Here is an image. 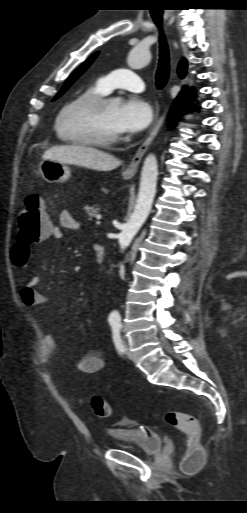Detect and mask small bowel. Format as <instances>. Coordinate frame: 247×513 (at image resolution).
Wrapping results in <instances>:
<instances>
[{"label":"small bowel","mask_w":247,"mask_h":513,"mask_svg":"<svg viewBox=\"0 0 247 513\" xmlns=\"http://www.w3.org/2000/svg\"><path fill=\"white\" fill-rule=\"evenodd\" d=\"M79 230L81 224L71 215L68 210H63L59 215V225H52L49 234L45 239L62 240L63 230ZM41 279L39 276L30 277L26 284L20 290L21 302L27 307L44 306L48 303L46 296L39 291ZM58 348L54 336L50 332L44 334V351L42 354L45 363H49L57 356ZM77 367L80 372L93 374L101 371L105 367L104 357L97 351L84 352L78 362Z\"/></svg>","instance_id":"c3829d8e"}]
</instances>
